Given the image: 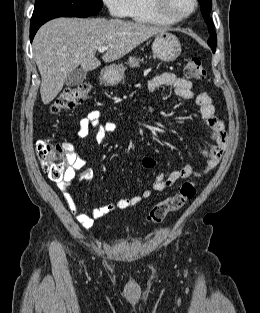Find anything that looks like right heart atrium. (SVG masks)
<instances>
[{
  "label": "right heart atrium",
  "mask_w": 260,
  "mask_h": 313,
  "mask_svg": "<svg viewBox=\"0 0 260 313\" xmlns=\"http://www.w3.org/2000/svg\"><path fill=\"white\" fill-rule=\"evenodd\" d=\"M110 15L114 17L127 16L128 0H102Z\"/></svg>",
  "instance_id": "obj_1"
}]
</instances>
